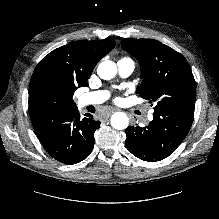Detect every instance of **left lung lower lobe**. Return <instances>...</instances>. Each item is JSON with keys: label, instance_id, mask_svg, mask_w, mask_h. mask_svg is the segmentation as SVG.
I'll use <instances>...</instances> for the list:
<instances>
[{"label": "left lung lower lobe", "instance_id": "obj_1", "mask_svg": "<svg viewBox=\"0 0 219 219\" xmlns=\"http://www.w3.org/2000/svg\"><path fill=\"white\" fill-rule=\"evenodd\" d=\"M194 105L173 110H154L153 120L146 127L129 126L125 145L137 158L149 162L171 155L189 132Z\"/></svg>", "mask_w": 219, "mask_h": 219}]
</instances>
